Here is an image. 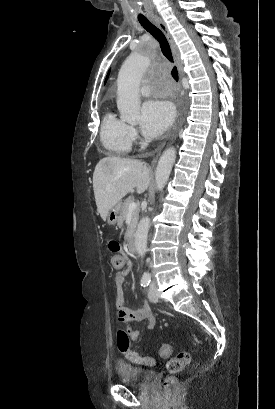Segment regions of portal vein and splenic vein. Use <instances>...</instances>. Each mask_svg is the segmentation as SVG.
Returning a JSON list of instances; mask_svg holds the SVG:
<instances>
[{
  "instance_id": "obj_1",
  "label": "portal vein and splenic vein",
  "mask_w": 275,
  "mask_h": 409,
  "mask_svg": "<svg viewBox=\"0 0 275 409\" xmlns=\"http://www.w3.org/2000/svg\"><path fill=\"white\" fill-rule=\"evenodd\" d=\"M137 205L136 202H130V205L128 207V213H132V211H135Z\"/></svg>"
}]
</instances>
